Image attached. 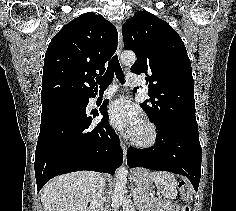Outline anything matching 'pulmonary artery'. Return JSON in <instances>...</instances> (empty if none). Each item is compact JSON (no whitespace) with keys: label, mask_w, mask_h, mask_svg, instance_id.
I'll list each match as a JSON object with an SVG mask.
<instances>
[{"label":"pulmonary artery","mask_w":236,"mask_h":211,"mask_svg":"<svg viewBox=\"0 0 236 211\" xmlns=\"http://www.w3.org/2000/svg\"><path fill=\"white\" fill-rule=\"evenodd\" d=\"M142 79L137 76L136 74L133 73H127L126 74V84L132 87H137L141 84ZM116 92V86L114 85H109L107 89L104 91L102 96L97 95L96 99L99 97H109L113 95Z\"/></svg>","instance_id":"e3ab8cb5"}]
</instances>
